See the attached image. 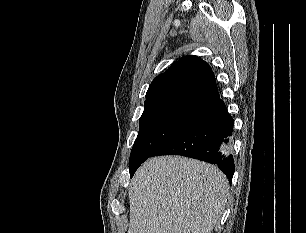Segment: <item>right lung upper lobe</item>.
I'll return each mask as SVG.
<instances>
[{
  "mask_svg": "<svg viewBox=\"0 0 306 233\" xmlns=\"http://www.w3.org/2000/svg\"><path fill=\"white\" fill-rule=\"evenodd\" d=\"M214 73L197 56H187L158 75L146 93L145 106L168 100L190 102L207 107L219 100Z\"/></svg>",
  "mask_w": 306,
  "mask_h": 233,
  "instance_id": "right-lung-upper-lobe-1",
  "label": "right lung upper lobe"
}]
</instances>
